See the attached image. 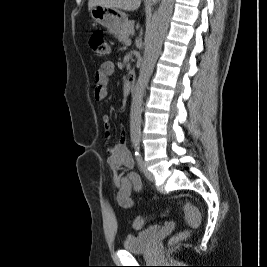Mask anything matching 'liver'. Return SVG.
Returning a JSON list of instances; mask_svg holds the SVG:
<instances>
[{
	"instance_id": "1",
	"label": "liver",
	"mask_w": 267,
	"mask_h": 267,
	"mask_svg": "<svg viewBox=\"0 0 267 267\" xmlns=\"http://www.w3.org/2000/svg\"><path fill=\"white\" fill-rule=\"evenodd\" d=\"M141 5V0H89L88 8L91 10L94 6H105L112 9L135 11Z\"/></svg>"
}]
</instances>
